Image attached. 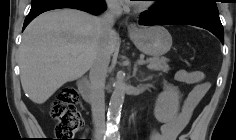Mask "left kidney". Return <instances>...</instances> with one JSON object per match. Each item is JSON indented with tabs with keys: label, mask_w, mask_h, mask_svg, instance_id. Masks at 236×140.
Listing matches in <instances>:
<instances>
[{
	"label": "left kidney",
	"mask_w": 236,
	"mask_h": 140,
	"mask_svg": "<svg viewBox=\"0 0 236 140\" xmlns=\"http://www.w3.org/2000/svg\"><path fill=\"white\" fill-rule=\"evenodd\" d=\"M180 96L177 88L165 85L164 90L156 99L154 115L161 123H167L174 119L179 111Z\"/></svg>",
	"instance_id": "1"
}]
</instances>
